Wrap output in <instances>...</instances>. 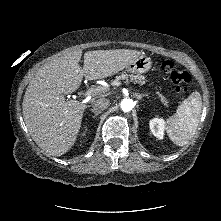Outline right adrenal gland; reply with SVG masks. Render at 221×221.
I'll return each instance as SVG.
<instances>
[{
	"label": "right adrenal gland",
	"instance_id": "2a0ac1e0",
	"mask_svg": "<svg viewBox=\"0 0 221 221\" xmlns=\"http://www.w3.org/2000/svg\"><path fill=\"white\" fill-rule=\"evenodd\" d=\"M92 113H94V116H98L99 114H101V112L99 111H94L93 109L90 110Z\"/></svg>",
	"mask_w": 221,
	"mask_h": 221
}]
</instances>
